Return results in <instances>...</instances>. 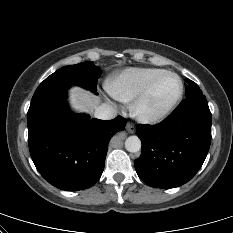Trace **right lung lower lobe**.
I'll list each match as a JSON object with an SVG mask.
<instances>
[{"mask_svg": "<svg viewBox=\"0 0 233 233\" xmlns=\"http://www.w3.org/2000/svg\"><path fill=\"white\" fill-rule=\"evenodd\" d=\"M27 122L37 170L47 182L66 191L84 190L99 180L108 143L126 124L121 116L100 120L71 113L66 91L31 101Z\"/></svg>", "mask_w": 233, "mask_h": 233, "instance_id": "obj_1", "label": "right lung lower lobe"}]
</instances>
